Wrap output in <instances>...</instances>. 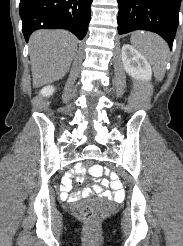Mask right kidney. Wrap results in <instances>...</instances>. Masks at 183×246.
Masks as SVG:
<instances>
[{
    "label": "right kidney",
    "mask_w": 183,
    "mask_h": 246,
    "mask_svg": "<svg viewBox=\"0 0 183 246\" xmlns=\"http://www.w3.org/2000/svg\"><path fill=\"white\" fill-rule=\"evenodd\" d=\"M54 87L53 86H50V85H48V86H46V87H44L42 90H41V94L43 95V96H51L53 93H54Z\"/></svg>",
    "instance_id": "ca27d5eb"
}]
</instances>
